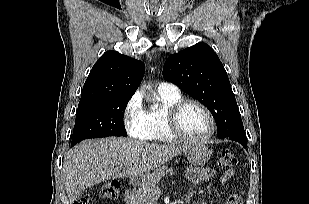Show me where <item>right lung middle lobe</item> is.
Instances as JSON below:
<instances>
[{"label": "right lung middle lobe", "mask_w": 309, "mask_h": 204, "mask_svg": "<svg viewBox=\"0 0 309 204\" xmlns=\"http://www.w3.org/2000/svg\"><path fill=\"white\" fill-rule=\"evenodd\" d=\"M130 97H109L80 103L71 145L88 139L127 136L123 116Z\"/></svg>", "instance_id": "1"}]
</instances>
